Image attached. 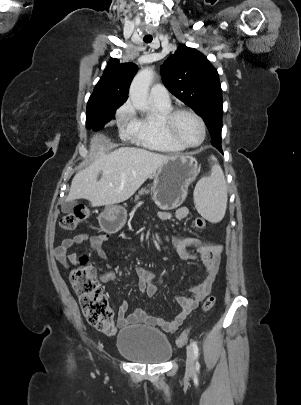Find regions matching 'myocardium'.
Listing matches in <instances>:
<instances>
[{"instance_id": "1", "label": "myocardium", "mask_w": 301, "mask_h": 405, "mask_svg": "<svg viewBox=\"0 0 301 405\" xmlns=\"http://www.w3.org/2000/svg\"><path fill=\"white\" fill-rule=\"evenodd\" d=\"M182 114H190L198 121L202 131V136L198 143L193 145L187 144L178 136L176 132V121L178 117ZM160 124L164 134L171 140H173L175 143H177L179 146L183 147L184 149H194L200 147L205 141L206 138L205 122L202 119V117L192 109L188 108L173 109L161 117Z\"/></svg>"}]
</instances>
